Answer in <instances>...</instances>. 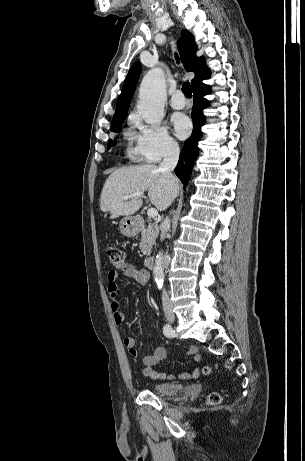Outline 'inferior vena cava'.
Here are the masks:
<instances>
[{"mask_svg":"<svg viewBox=\"0 0 305 461\" xmlns=\"http://www.w3.org/2000/svg\"><path fill=\"white\" fill-rule=\"evenodd\" d=\"M179 146L177 143H168L165 147L163 153V161L159 165V171L165 173L168 176H172V171L177 165L179 159ZM170 229V219L167 217L165 218L162 226H161V235L160 240L163 241L166 237L168 230ZM162 304L163 309L166 310L170 307L171 302L169 299V295L167 294L166 290L162 293Z\"/></svg>","mask_w":305,"mask_h":461,"instance_id":"1","label":"inferior vena cava"}]
</instances>
